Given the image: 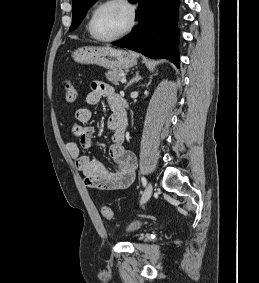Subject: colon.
<instances>
[{
	"label": "colon",
	"instance_id": "colon-1",
	"mask_svg": "<svg viewBox=\"0 0 259 283\" xmlns=\"http://www.w3.org/2000/svg\"><path fill=\"white\" fill-rule=\"evenodd\" d=\"M77 97L76 87L73 82L66 81L65 83V99L68 103H74ZM102 214L105 218L111 219L113 217V212L109 206H102Z\"/></svg>",
	"mask_w": 259,
	"mask_h": 283
}]
</instances>
